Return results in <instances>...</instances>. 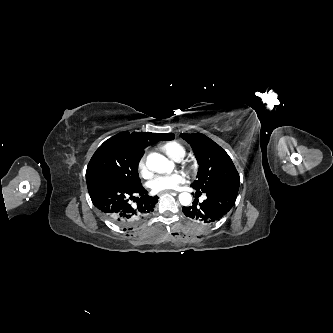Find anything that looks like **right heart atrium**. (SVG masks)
I'll use <instances>...</instances> for the list:
<instances>
[{
    "mask_svg": "<svg viewBox=\"0 0 333 333\" xmlns=\"http://www.w3.org/2000/svg\"><path fill=\"white\" fill-rule=\"evenodd\" d=\"M138 168L143 176H149L150 170L148 168L146 157H143L138 164Z\"/></svg>",
    "mask_w": 333,
    "mask_h": 333,
    "instance_id": "d8ad5b80",
    "label": "right heart atrium"
}]
</instances>
